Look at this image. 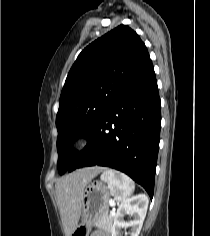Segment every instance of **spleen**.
<instances>
[{"label":"spleen","mask_w":210,"mask_h":236,"mask_svg":"<svg viewBox=\"0 0 210 236\" xmlns=\"http://www.w3.org/2000/svg\"><path fill=\"white\" fill-rule=\"evenodd\" d=\"M101 180L108 183L111 194L120 202L127 200L135 189V184L130 177L111 169L102 173Z\"/></svg>","instance_id":"obj_1"}]
</instances>
